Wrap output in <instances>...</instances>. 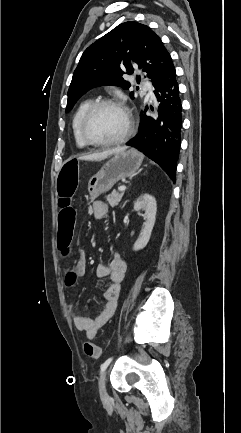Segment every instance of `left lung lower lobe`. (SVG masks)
Segmentation results:
<instances>
[{
    "label": "left lung lower lobe",
    "mask_w": 241,
    "mask_h": 433,
    "mask_svg": "<svg viewBox=\"0 0 241 433\" xmlns=\"http://www.w3.org/2000/svg\"><path fill=\"white\" fill-rule=\"evenodd\" d=\"M154 87L157 105L150 107L153 114L147 113L148 106L141 111L138 133L126 145L139 149L175 181L181 144L182 104L173 63Z\"/></svg>",
    "instance_id": "obj_1"
}]
</instances>
